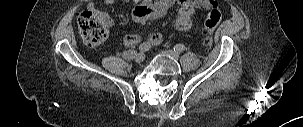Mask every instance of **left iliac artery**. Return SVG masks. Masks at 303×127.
<instances>
[{
	"instance_id": "44dca946",
	"label": "left iliac artery",
	"mask_w": 303,
	"mask_h": 127,
	"mask_svg": "<svg viewBox=\"0 0 303 127\" xmlns=\"http://www.w3.org/2000/svg\"><path fill=\"white\" fill-rule=\"evenodd\" d=\"M184 50H185V46L182 44H177L174 47V51L178 53L183 52Z\"/></svg>"
}]
</instances>
